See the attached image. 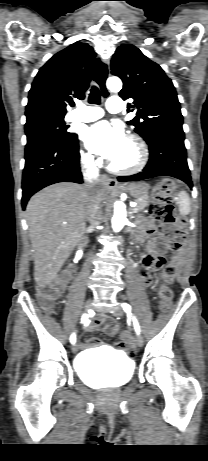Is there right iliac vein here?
<instances>
[{
    "label": "right iliac vein",
    "mask_w": 208,
    "mask_h": 461,
    "mask_svg": "<svg viewBox=\"0 0 208 461\" xmlns=\"http://www.w3.org/2000/svg\"><path fill=\"white\" fill-rule=\"evenodd\" d=\"M92 301L93 299L90 298L87 300L86 304H85V311H89L92 307ZM78 351V344L75 343L73 346H72V352L75 354L76 352Z\"/></svg>",
    "instance_id": "right-iliac-vein-1"
}]
</instances>
